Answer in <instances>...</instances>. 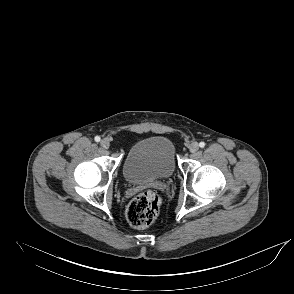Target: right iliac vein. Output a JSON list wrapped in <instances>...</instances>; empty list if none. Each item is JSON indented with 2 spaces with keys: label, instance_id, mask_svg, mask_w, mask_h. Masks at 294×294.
Here are the masks:
<instances>
[{
  "label": "right iliac vein",
  "instance_id": "1",
  "mask_svg": "<svg viewBox=\"0 0 294 294\" xmlns=\"http://www.w3.org/2000/svg\"><path fill=\"white\" fill-rule=\"evenodd\" d=\"M100 144H101V146H102L104 149H108L109 146H110V143H109V141H108L107 139H103V140H101Z\"/></svg>",
  "mask_w": 294,
  "mask_h": 294
}]
</instances>
